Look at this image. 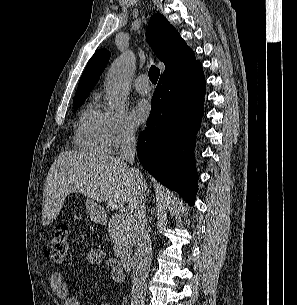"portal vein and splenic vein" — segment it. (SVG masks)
<instances>
[{
  "instance_id": "18ae733b",
  "label": "portal vein and splenic vein",
  "mask_w": 297,
  "mask_h": 305,
  "mask_svg": "<svg viewBox=\"0 0 297 305\" xmlns=\"http://www.w3.org/2000/svg\"><path fill=\"white\" fill-rule=\"evenodd\" d=\"M122 218H127L129 217V213L128 212H124L123 214H121Z\"/></svg>"
}]
</instances>
